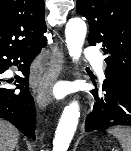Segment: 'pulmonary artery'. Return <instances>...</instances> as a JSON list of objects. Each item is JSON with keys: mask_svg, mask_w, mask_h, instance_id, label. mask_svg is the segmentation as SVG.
I'll return each instance as SVG.
<instances>
[{"mask_svg": "<svg viewBox=\"0 0 131 151\" xmlns=\"http://www.w3.org/2000/svg\"><path fill=\"white\" fill-rule=\"evenodd\" d=\"M85 58L92 64L99 75L104 74L103 59L95 50L88 48L85 51Z\"/></svg>", "mask_w": 131, "mask_h": 151, "instance_id": "1", "label": "pulmonary artery"}]
</instances>
